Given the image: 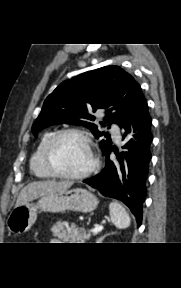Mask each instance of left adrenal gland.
I'll return each mask as SVG.
<instances>
[{"instance_id":"obj_1","label":"left adrenal gland","mask_w":181,"mask_h":288,"mask_svg":"<svg viewBox=\"0 0 181 288\" xmlns=\"http://www.w3.org/2000/svg\"><path fill=\"white\" fill-rule=\"evenodd\" d=\"M108 235H110V234H106V235L98 238L96 242H97V243H102V241H103V240L105 239V237H107Z\"/></svg>"}]
</instances>
